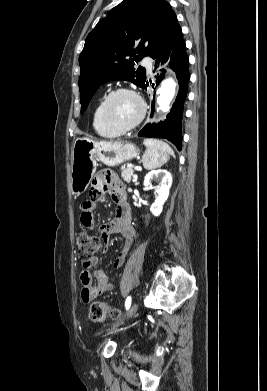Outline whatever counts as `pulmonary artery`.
Segmentation results:
<instances>
[{
	"label": "pulmonary artery",
	"instance_id": "obj_1",
	"mask_svg": "<svg viewBox=\"0 0 267 391\" xmlns=\"http://www.w3.org/2000/svg\"><path fill=\"white\" fill-rule=\"evenodd\" d=\"M142 64L144 67H146V69L148 70L149 73L152 72V59L150 57H145L142 61Z\"/></svg>",
	"mask_w": 267,
	"mask_h": 391
}]
</instances>
